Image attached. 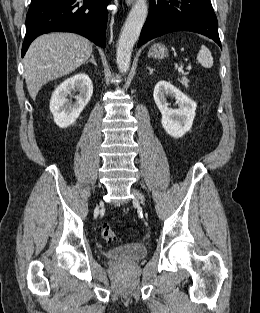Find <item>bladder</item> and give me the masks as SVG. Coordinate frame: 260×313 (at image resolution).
I'll list each match as a JSON object with an SVG mask.
<instances>
[{
    "mask_svg": "<svg viewBox=\"0 0 260 313\" xmlns=\"http://www.w3.org/2000/svg\"><path fill=\"white\" fill-rule=\"evenodd\" d=\"M147 247L143 242H128L109 249L105 256L109 260L136 259L145 256Z\"/></svg>",
    "mask_w": 260,
    "mask_h": 313,
    "instance_id": "bladder-1",
    "label": "bladder"
}]
</instances>
